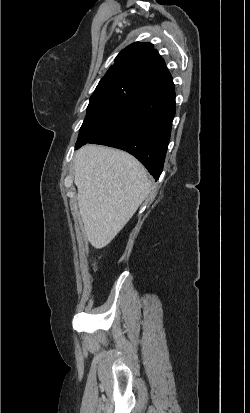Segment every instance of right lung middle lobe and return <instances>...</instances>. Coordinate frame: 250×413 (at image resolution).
Masks as SVG:
<instances>
[{
    "instance_id": "dd1d6c3e",
    "label": "right lung middle lobe",
    "mask_w": 250,
    "mask_h": 413,
    "mask_svg": "<svg viewBox=\"0 0 250 413\" xmlns=\"http://www.w3.org/2000/svg\"><path fill=\"white\" fill-rule=\"evenodd\" d=\"M138 92L119 88L96 89L90 98L87 115L80 128L75 149L88 143L121 113L123 108L138 98Z\"/></svg>"
}]
</instances>
